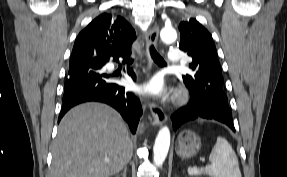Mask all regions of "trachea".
<instances>
[{
	"label": "trachea",
	"instance_id": "1",
	"mask_svg": "<svg viewBox=\"0 0 287 177\" xmlns=\"http://www.w3.org/2000/svg\"><path fill=\"white\" fill-rule=\"evenodd\" d=\"M149 49H150V55H151L152 59L157 64H159V65H166L164 59L160 56V54L154 48V45H151ZM130 61H133V59H131Z\"/></svg>",
	"mask_w": 287,
	"mask_h": 177
}]
</instances>
